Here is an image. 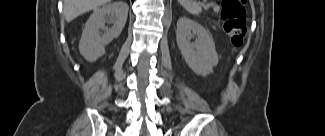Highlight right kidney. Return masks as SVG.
<instances>
[{
    "label": "right kidney",
    "mask_w": 325,
    "mask_h": 136,
    "mask_svg": "<svg viewBox=\"0 0 325 136\" xmlns=\"http://www.w3.org/2000/svg\"><path fill=\"white\" fill-rule=\"evenodd\" d=\"M127 15L128 5L124 1H115L96 9L86 22L79 42L81 55L89 62L101 57L105 52V45L119 37ZM100 30H105V33L101 34Z\"/></svg>",
    "instance_id": "obj_1"
}]
</instances>
